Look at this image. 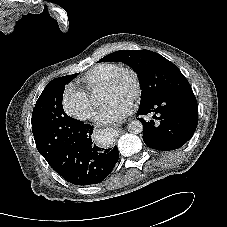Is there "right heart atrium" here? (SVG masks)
<instances>
[{"label": "right heart atrium", "mask_w": 227, "mask_h": 227, "mask_svg": "<svg viewBox=\"0 0 227 227\" xmlns=\"http://www.w3.org/2000/svg\"><path fill=\"white\" fill-rule=\"evenodd\" d=\"M62 107L66 114L80 121L91 120L96 115V106L89 94L72 86L63 92Z\"/></svg>", "instance_id": "obj_1"}]
</instances>
